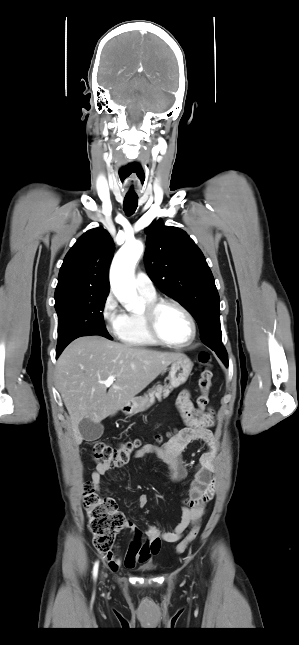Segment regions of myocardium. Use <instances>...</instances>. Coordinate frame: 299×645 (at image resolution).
<instances>
[{"label":"myocardium","instance_id":"obj_1","mask_svg":"<svg viewBox=\"0 0 299 645\" xmlns=\"http://www.w3.org/2000/svg\"><path fill=\"white\" fill-rule=\"evenodd\" d=\"M165 306H174L181 310L185 316L188 318L191 326V334L189 338L184 341V342H171L166 340L159 332L158 329V316L161 311V309ZM144 315V321L146 328L149 332V334L152 336L154 340L157 341V343L172 347V348H182L190 345L196 338L197 334V325L194 316L192 313L189 311L187 307H185L182 303H180L177 300L170 299V298H161V299H155L154 301L150 302L147 304L144 308L143 311Z\"/></svg>","mask_w":299,"mask_h":645}]
</instances>
